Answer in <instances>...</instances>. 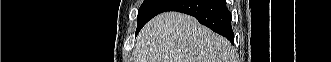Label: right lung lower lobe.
Listing matches in <instances>:
<instances>
[{
  "label": "right lung lower lobe",
  "instance_id": "right-lung-lower-lobe-1",
  "mask_svg": "<svg viewBox=\"0 0 331 62\" xmlns=\"http://www.w3.org/2000/svg\"><path fill=\"white\" fill-rule=\"evenodd\" d=\"M166 11L194 16L201 24L226 37L233 44L231 13L225 0H173L161 13Z\"/></svg>",
  "mask_w": 331,
  "mask_h": 62
}]
</instances>
